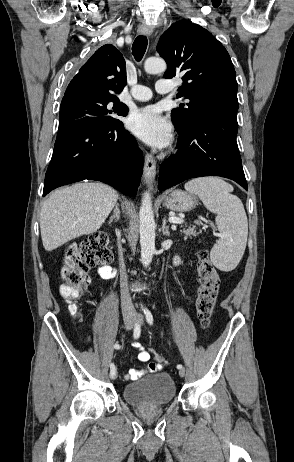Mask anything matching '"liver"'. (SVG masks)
<instances>
[{"instance_id": "liver-1", "label": "liver", "mask_w": 294, "mask_h": 462, "mask_svg": "<svg viewBox=\"0 0 294 462\" xmlns=\"http://www.w3.org/2000/svg\"><path fill=\"white\" fill-rule=\"evenodd\" d=\"M118 193L103 183H79L53 192L40 214L42 243L52 251L96 232L116 205Z\"/></svg>"}]
</instances>
